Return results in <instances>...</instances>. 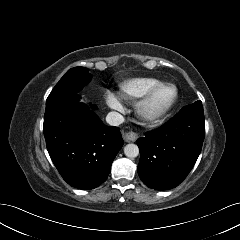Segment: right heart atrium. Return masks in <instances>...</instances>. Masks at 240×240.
Instances as JSON below:
<instances>
[{
  "label": "right heart atrium",
  "instance_id": "obj_1",
  "mask_svg": "<svg viewBox=\"0 0 240 240\" xmlns=\"http://www.w3.org/2000/svg\"><path fill=\"white\" fill-rule=\"evenodd\" d=\"M106 102H107V105L115 111L121 112L124 110L123 103L121 102L119 97L112 92H107Z\"/></svg>",
  "mask_w": 240,
  "mask_h": 240
}]
</instances>
